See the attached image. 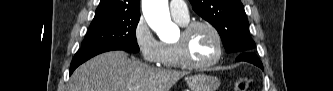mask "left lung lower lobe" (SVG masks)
<instances>
[{"label":"left lung lower lobe","instance_id":"obj_1","mask_svg":"<svg viewBox=\"0 0 333 91\" xmlns=\"http://www.w3.org/2000/svg\"><path fill=\"white\" fill-rule=\"evenodd\" d=\"M236 61L250 62L263 69L262 63L260 62V60L257 58V56L254 54L253 51H247L237 54Z\"/></svg>","mask_w":333,"mask_h":91}]
</instances>
